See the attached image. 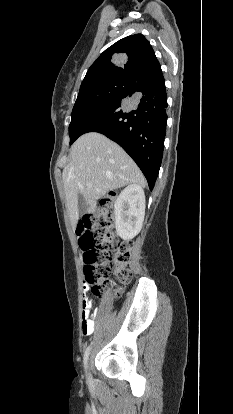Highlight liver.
Masks as SVG:
<instances>
[{
  "mask_svg": "<svg viewBox=\"0 0 233 414\" xmlns=\"http://www.w3.org/2000/svg\"><path fill=\"white\" fill-rule=\"evenodd\" d=\"M71 161L63 169L66 204L72 226L79 221L78 198L94 213L97 200L107 192L129 184L145 186V178L129 155L115 142L97 132L80 136L70 150Z\"/></svg>",
  "mask_w": 233,
  "mask_h": 414,
  "instance_id": "6515ba94",
  "label": "liver"
}]
</instances>
